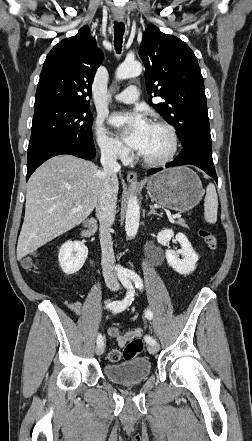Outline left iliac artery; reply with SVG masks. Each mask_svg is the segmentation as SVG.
<instances>
[{
  "mask_svg": "<svg viewBox=\"0 0 252 441\" xmlns=\"http://www.w3.org/2000/svg\"><path fill=\"white\" fill-rule=\"evenodd\" d=\"M128 276L135 283L136 288H139L140 290L143 289V281L138 274H136L135 272H131V273H129ZM145 315L149 320H151L153 318V313L150 309L145 310ZM142 336H143V339H145L147 343H149V344L155 343V340L152 339V337H150V333L148 331H144L142 333Z\"/></svg>",
  "mask_w": 252,
  "mask_h": 441,
  "instance_id": "44dca946",
  "label": "left iliac artery"
}]
</instances>
